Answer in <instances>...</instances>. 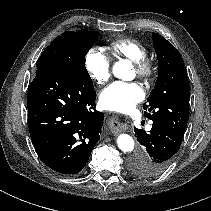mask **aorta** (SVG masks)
<instances>
[{
  "label": "aorta",
  "instance_id": "762f6f07",
  "mask_svg": "<svg viewBox=\"0 0 211 211\" xmlns=\"http://www.w3.org/2000/svg\"><path fill=\"white\" fill-rule=\"evenodd\" d=\"M128 70V65L125 61L121 60L114 64L112 72L117 78H123ZM117 145L123 152H131L134 149V140L128 134H120L117 138Z\"/></svg>",
  "mask_w": 211,
  "mask_h": 211
}]
</instances>
